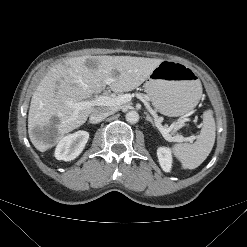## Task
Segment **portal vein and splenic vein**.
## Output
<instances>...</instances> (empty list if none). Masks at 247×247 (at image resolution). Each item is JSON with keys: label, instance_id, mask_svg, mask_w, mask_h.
Wrapping results in <instances>:
<instances>
[{"label": "portal vein and splenic vein", "instance_id": "1", "mask_svg": "<svg viewBox=\"0 0 247 247\" xmlns=\"http://www.w3.org/2000/svg\"><path fill=\"white\" fill-rule=\"evenodd\" d=\"M113 81V79L108 78L106 80V84H110ZM137 98H139L150 110V112L154 115L155 117V121H156V125L159 129V131L161 132V134L163 135V137L169 141V142H183L185 140L192 142L194 140V137H188V138H184L183 136H171L168 132L167 129H165L160 121L158 120L155 112L149 107L148 103L146 102V100L143 98V96L141 94H137L136 95ZM133 95L130 94H123V95H118L116 97H110V96H105V95H99L96 96L93 99L90 100H85V101H81L78 103H74L72 101H67L68 105L73 108L75 110L74 114H77V112L83 108H87V107H92V106H111V107H115V106H119L122 104H125L127 102H129L132 99Z\"/></svg>", "mask_w": 247, "mask_h": 247}]
</instances>
